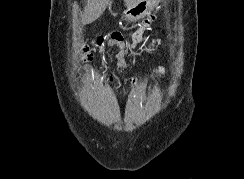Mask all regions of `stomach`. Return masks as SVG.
<instances>
[{"instance_id":"1","label":"stomach","mask_w":244,"mask_h":179,"mask_svg":"<svg viewBox=\"0 0 244 179\" xmlns=\"http://www.w3.org/2000/svg\"><path fill=\"white\" fill-rule=\"evenodd\" d=\"M152 3H148V2ZM157 0H136V4H134V0H127V10H125V18L127 20H139V18H144V14H149V9L141 8H154Z\"/></svg>"}]
</instances>
